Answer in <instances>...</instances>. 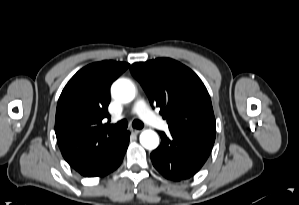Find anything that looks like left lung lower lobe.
I'll use <instances>...</instances> for the list:
<instances>
[{
	"instance_id": "0a47b994",
	"label": "left lung lower lobe",
	"mask_w": 299,
	"mask_h": 205,
	"mask_svg": "<svg viewBox=\"0 0 299 205\" xmlns=\"http://www.w3.org/2000/svg\"><path fill=\"white\" fill-rule=\"evenodd\" d=\"M171 135L160 132L161 144L151 153L153 166L167 179H189L209 157L215 135L187 131H171Z\"/></svg>"
}]
</instances>
